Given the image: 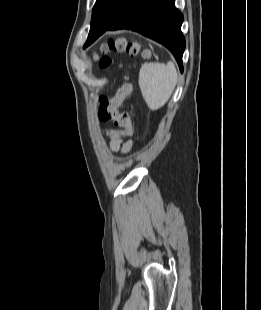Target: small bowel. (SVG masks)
<instances>
[{
    "instance_id": "1",
    "label": "small bowel",
    "mask_w": 261,
    "mask_h": 310,
    "mask_svg": "<svg viewBox=\"0 0 261 310\" xmlns=\"http://www.w3.org/2000/svg\"><path fill=\"white\" fill-rule=\"evenodd\" d=\"M111 148L114 151L127 152L131 148V142L130 141H123L120 138L112 137Z\"/></svg>"
}]
</instances>
